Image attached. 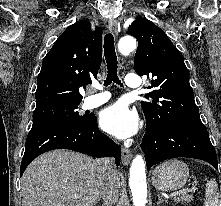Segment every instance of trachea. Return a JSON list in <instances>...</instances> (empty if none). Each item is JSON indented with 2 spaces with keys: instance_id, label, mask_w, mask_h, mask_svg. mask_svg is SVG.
<instances>
[{
  "instance_id": "1",
  "label": "trachea",
  "mask_w": 221,
  "mask_h": 206,
  "mask_svg": "<svg viewBox=\"0 0 221 206\" xmlns=\"http://www.w3.org/2000/svg\"><path fill=\"white\" fill-rule=\"evenodd\" d=\"M104 56L107 63V77L104 85L108 86L114 82L122 86L117 74L118 61L115 52L114 37L111 33L106 34L104 37Z\"/></svg>"
}]
</instances>
